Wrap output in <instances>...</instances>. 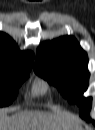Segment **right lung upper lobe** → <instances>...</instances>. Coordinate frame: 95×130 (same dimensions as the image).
<instances>
[{
  "label": "right lung upper lobe",
  "instance_id": "right-lung-upper-lobe-1",
  "mask_svg": "<svg viewBox=\"0 0 95 130\" xmlns=\"http://www.w3.org/2000/svg\"><path fill=\"white\" fill-rule=\"evenodd\" d=\"M33 59V53L19 51L9 36L0 33V70H30L33 66Z\"/></svg>",
  "mask_w": 95,
  "mask_h": 130
}]
</instances>
